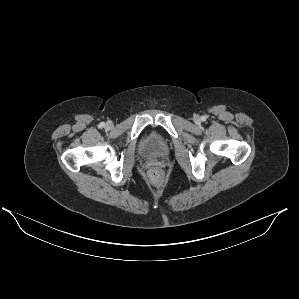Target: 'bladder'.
Here are the masks:
<instances>
[{
  "label": "bladder",
  "instance_id": "1",
  "mask_svg": "<svg viewBox=\"0 0 299 299\" xmlns=\"http://www.w3.org/2000/svg\"><path fill=\"white\" fill-rule=\"evenodd\" d=\"M138 149L140 155L145 159H160L169 155L171 142L161 132L149 129L140 136Z\"/></svg>",
  "mask_w": 299,
  "mask_h": 299
}]
</instances>
